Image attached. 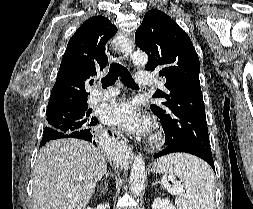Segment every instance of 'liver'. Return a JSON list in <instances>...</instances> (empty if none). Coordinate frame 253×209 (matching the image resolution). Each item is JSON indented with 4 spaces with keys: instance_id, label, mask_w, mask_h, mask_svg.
I'll list each match as a JSON object with an SVG mask.
<instances>
[{
    "instance_id": "obj_1",
    "label": "liver",
    "mask_w": 253,
    "mask_h": 209,
    "mask_svg": "<svg viewBox=\"0 0 253 209\" xmlns=\"http://www.w3.org/2000/svg\"><path fill=\"white\" fill-rule=\"evenodd\" d=\"M106 167L103 153L84 140L46 144L34 167V209H85Z\"/></svg>"
}]
</instances>
